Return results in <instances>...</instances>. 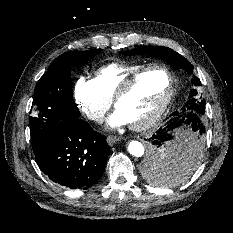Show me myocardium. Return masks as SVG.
I'll return each instance as SVG.
<instances>
[{
    "mask_svg": "<svg viewBox=\"0 0 233 233\" xmlns=\"http://www.w3.org/2000/svg\"><path fill=\"white\" fill-rule=\"evenodd\" d=\"M153 70H162L166 73L168 80H169L168 89H167L165 96L163 97V99L159 103V105L156 107V109L148 117H146L144 120H142L140 122L130 123V127L134 130H137V131L146 130V129L152 127L161 118V116L164 114L167 107L169 106V104L173 98L174 89H175V81H174V77H173V74L171 73V71L164 65H160V64L148 65V66L144 67L143 69H141L140 71H138L137 73L128 77L120 85V87L118 88L117 92L115 93V95L112 99L113 106L115 109H117L119 103L122 101L123 98L126 97V95L134 87V85L145 74H147Z\"/></svg>",
    "mask_w": 233,
    "mask_h": 233,
    "instance_id": "1",
    "label": "myocardium"
}]
</instances>
